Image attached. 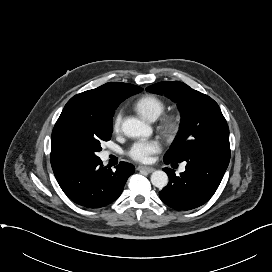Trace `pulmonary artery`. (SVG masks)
<instances>
[{
	"label": "pulmonary artery",
	"instance_id": "e3ab8cb5",
	"mask_svg": "<svg viewBox=\"0 0 272 272\" xmlns=\"http://www.w3.org/2000/svg\"><path fill=\"white\" fill-rule=\"evenodd\" d=\"M108 155V153H106V156ZM185 170V166L183 165L182 167H181V171H184Z\"/></svg>",
	"mask_w": 272,
	"mask_h": 272
}]
</instances>
